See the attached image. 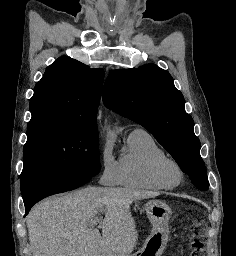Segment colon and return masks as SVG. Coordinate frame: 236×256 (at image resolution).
Segmentation results:
<instances>
[{"label": "colon", "instance_id": "obj_1", "mask_svg": "<svg viewBox=\"0 0 236 256\" xmlns=\"http://www.w3.org/2000/svg\"><path fill=\"white\" fill-rule=\"evenodd\" d=\"M202 228L201 221L195 219L190 233V256H206Z\"/></svg>", "mask_w": 236, "mask_h": 256}]
</instances>
